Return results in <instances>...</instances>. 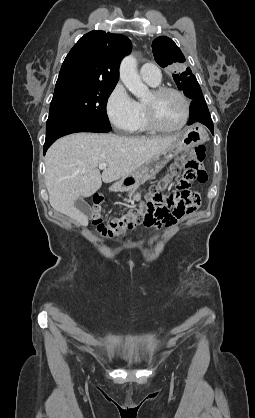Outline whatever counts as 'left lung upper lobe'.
I'll return each mask as SVG.
<instances>
[{
    "label": "left lung upper lobe",
    "instance_id": "5c2ea615",
    "mask_svg": "<svg viewBox=\"0 0 255 418\" xmlns=\"http://www.w3.org/2000/svg\"><path fill=\"white\" fill-rule=\"evenodd\" d=\"M152 51L155 61L163 68L169 65L178 67L185 62V57L179 47L166 36H160L153 41ZM172 76L178 88L187 97L192 100L204 98L197 79L190 68L178 69L172 73Z\"/></svg>",
    "mask_w": 255,
    "mask_h": 418
}]
</instances>
